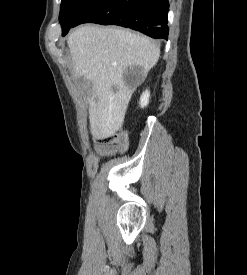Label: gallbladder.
Returning a JSON list of instances; mask_svg holds the SVG:
<instances>
[{
    "mask_svg": "<svg viewBox=\"0 0 247 275\" xmlns=\"http://www.w3.org/2000/svg\"><path fill=\"white\" fill-rule=\"evenodd\" d=\"M79 82L82 83L83 85H85L86 90L89 92V90L92 88V84H88L87 81H85L83 78L79 79Z\"/></svg>",
    "mask_w": 247,
    "mask_h": 275,
    "instance_id": "obj_1",
    "label": "gallbladder"
}]
</instances>
